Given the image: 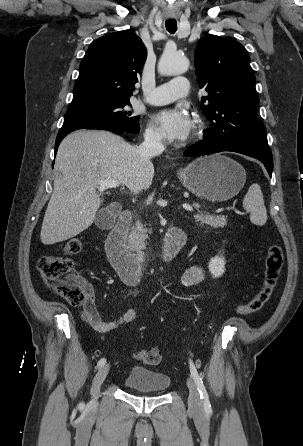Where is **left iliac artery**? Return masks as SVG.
<instances>
[{
	"label": "left iliac artery",
	"instance_id": "1",
	"mask_svg": "<svg viewBox=\"0 0 303 446\" xmlns=\"http://www.w3.org/2000/svg\"><path fill=\"white\" fill-rule=\"evenodd\" d=\"M189 364H190L191 376L193 377V379L197 385L198 391L200 393V398L203 403V407L206 412H211V404H210L209 396H208L207 390L203 384V381H202L201 377L199 376L194 363L190 360Z\"/></svg>",
	"mask_w": 303,
	"mask_h": 446
}]
</instances>
